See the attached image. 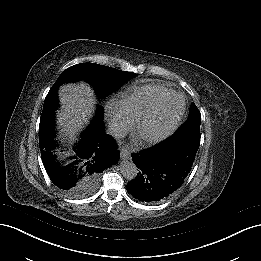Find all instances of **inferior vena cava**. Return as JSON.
Here are the masks:
<instances>
[{
    "label": "inferior vena cava",
    "mask_w": 261,
    "mask_h": 261,
    "mask_svg": "<svg viewBox=\"0 0 261 261\" xmlns=\"http://www.w3.org/2000/svg\"><path fill=\"white\" fill-rule=\"evenodd\" d=\"M106 133L115 139H121L126 135L125 126L115 119H108L106 122Z\"/></svg>",
    "instance_id": "602c4592"
}]
</instances>
